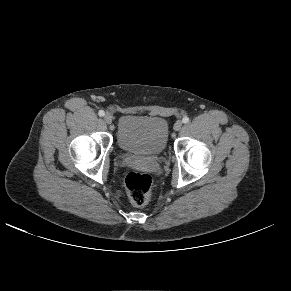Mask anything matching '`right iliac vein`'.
Here are the masks:
<instances>
[{"label":"right iliac vein","mask_w":291,"mask_h":291,"mask_svg":"<svg viewBox=\"0 0 291 291\" xmlns=\"http://www.w3.org/2000/svg\"><path fill=\"white\" fill-rule=\"evenodd\" d=\"M104 121H105L106 124H111L112 123V117H111V115L106 114L104 116Z\"/></svg>","instance_id":"obj_1"}]
</instances>
